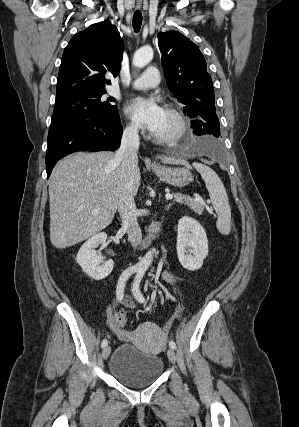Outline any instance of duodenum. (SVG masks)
I'll return each instance as SVG.
<instances>
[{"instance_id":"obj_1","label":"duodenum","mask_w":299,"mask_h":427,"mask_svg":"<svg viewBox=\"0 0 299 427\" xmlns=\"http://www.w3.org/2000/svg\"><path fill=\"white\" fill-rule=\"evenodd\" d=\"M162 233V224L161 223H154L149 231L148 236L146 237V239L144 240V243L146 245H150L153 242H156L159 240L160 236Z\"/></svg>"}]
</instances>
